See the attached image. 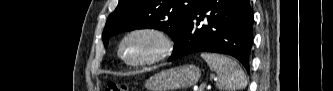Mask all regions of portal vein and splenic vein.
I'll use <instances>...</instances> for the list:
<instances>
[{"label": "portal vein and splenic vein", "instance_id": "portal-vein-and-splenic-vein-1", "mask_svg": "<svg viewBox=\"0 0 333 91\" xmlns=\"http://www.w3.org/2000/svg\"><path fill=\"white\" fill-rule=\"evenodd\" d=\"M203 87H205V84L203 85ZM193 91H198V87L195 86V87L193 88Z\"/></svg>", "mask_w": 333, "mask_h": 91}]
</instances>
